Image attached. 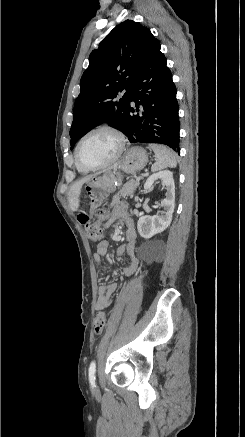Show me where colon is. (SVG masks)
Returning a JSON list of instances; mask_svg holds the SVG:
<instances>
[{
  "mask_svg": "<svg viewBox=\"0 0 245 437\" xmlns=\"http://www.w3.org/2000/svg\"><path fill=\"white\" fill-rule=\"evenodd\" d=\"M107 216V211L105 208H99L95 211V219H89L87 224H83L88 240L91 243H96L101 237V227L100 222L104 220ZM107 315L104 311L97 313L94 321V331L95 334H100L106 326Z\"/></svg>",
  "mask_w": 245,
  "mask_h": 437,
  "instance_id": "obj_1",
  "label": "colon"
}]
</instances>
